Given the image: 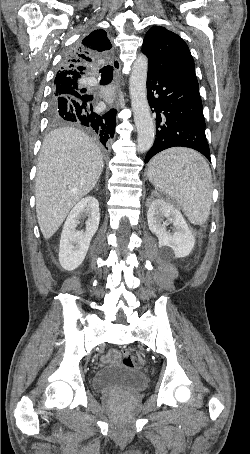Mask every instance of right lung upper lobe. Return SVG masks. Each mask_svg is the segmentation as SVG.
I'll use <instances>...</instances> for the list:
<instances>
[{
    "instance_id": "right-lung-upper-lobe-1",
    "label": "right lung upper lobe",
    "mask_w": 250,
    "mask_h": 454,
    "mask_svg": "<svg viewBox=\"0 0 250 454\" xmlns=\"http://www.w3.org/2000/svg\"><path fill=\"white\" fill-rule=\"evenodd\" d=\"M111 47L104 30L91 32L79 43L78 47L65 56L61 68L56 74L55 85L77 83L85 74L84 66L100 58L102 53L110 50Z\"/></svg>"
}]
</instances>
